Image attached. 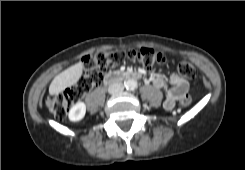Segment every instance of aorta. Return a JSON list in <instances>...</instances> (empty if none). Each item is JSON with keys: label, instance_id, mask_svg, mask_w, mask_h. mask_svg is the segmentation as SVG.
<instances>
[{"label": "aorta", "instance_id": "762f6f07", "mask_svg": "<svg viewBox=\"0 0 245 170\" xmlns=\"http://www.w3.org/2000/svg\"><path fill=\"white\" fill-rule=\"evenodd\" d=\"M126 87L130 90H134L137 87V81L130 79L126 81Z\"/></svg>", "mask_w": 245, "mask_h": 170}]
</instances>
